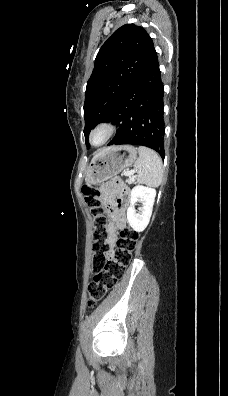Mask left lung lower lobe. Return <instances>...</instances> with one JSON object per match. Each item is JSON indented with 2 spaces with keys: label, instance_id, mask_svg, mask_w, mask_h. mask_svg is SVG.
Returning a JSON list of instances; mask_svg holds the SVG:
<instances>
[{
  "label": "left lung lower lobe",
  "instance_id": "left-lung-lower-lobe-1",
  "mask_svg": "<svg viewBox=\"0 0 228 396\" xmlns=\"http://www.w3.org/2000/svg\"><path fill=\"white\" fill-rule=\"evenodd\" d=\"M163 97L164 88L154 49L110 120L118 130L108 145H143L154 149L164 158Z\"/></svg>",
  "mask_w": 228,
  "mask_h": 396
}]
</instances>
